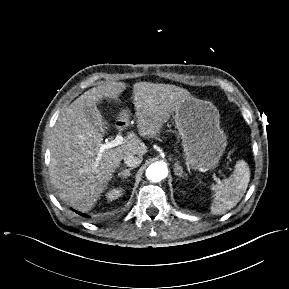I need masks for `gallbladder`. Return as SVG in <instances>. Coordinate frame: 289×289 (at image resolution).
Segmentation results:
<instances>
[{
    "mask_svg": "<svg viewBox=\"0 0 289 289\" xmlns=\"http://www.w3.org/2000/svg\"><path fill=\"white\" fill-rule=\"evenodd\" d=\"M89 116L91 122H94L96 120V115L92 112V110H89Z\"/></svg>",
    "mask_w": 289,
    "mask_h": 289,
    "instance_id": "1",
    "label": "gallbladder"
}]
</instances>
